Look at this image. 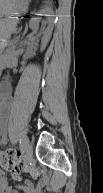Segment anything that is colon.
I'll return each mask as SVG.
<instances>
[{"label":"colon","mask_w":103,"mask_h":193,"mask_svg":"<svg viewBox=\"0 0 103 193\" xmlns=\"http://www.w3.org/2000/svg\"><path fill=\"white\" fill-rule=\"evenodd\" d=\"M0 166L3 170L16 175L21 173H30L34 177L39 175L37 168L25 163L20 156L12 150L5 151L1 154Z\"/></svg>","instance_id":"1"}]
</instances>
